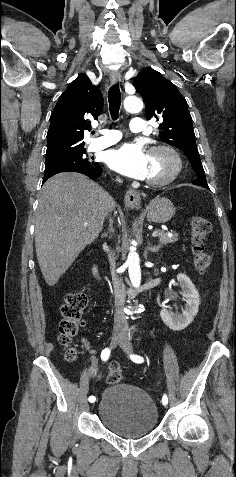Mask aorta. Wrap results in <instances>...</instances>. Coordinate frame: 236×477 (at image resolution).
<instances>
[{
	"label": "aorta",
	"instance_id": "762f6f07",
	"mask_svg": "<svg viewBox=\"0 0 236 477\" xmlns=\"http://www.w3.org/2000/svg\"><path fill=\"white\" fill-rule=\"evenodd\" d=\"M124 108L127 112H139L143 108V102L136 96H128L124 99ZM126 264L128 266L129 278L134 288H139L141 283L140 258L137 252L130 248Z\"/></svg>",
	"mask_w": 236,
	"mask_h": 477
}]
</instances>
